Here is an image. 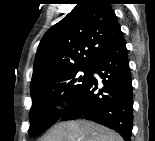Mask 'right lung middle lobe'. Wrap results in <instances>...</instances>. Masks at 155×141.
Here are the masks:
<instances>
[{
	"label": "right lung middle lobe",
	"mask_w": 155,
	"mask_h": 141,
	"mask_svg": "<svg viewBox=\"0 0 155 141\" xmlns=\"http://www.w3.org/2000/svg\"><path fill=\"white\" fill-rule=\"evenodd\" d=\"M83 74L80 75L79 72ZM92 67L76 68L49 77L31 88L32 107L30 110L29 136H37L48 129L62 116L54 111L56 100L67 96L73 103L88 84Z\"/></svg>",
	"instance_id": "right-lung-middle-lobe-1"
}]
</instances>
